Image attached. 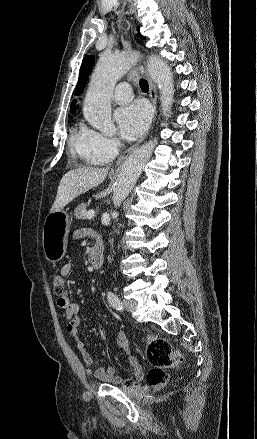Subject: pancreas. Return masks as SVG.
<instances>
[{"instance_id": "1", "label": "pancreas", "mask_w": 257, "mask_h": 439, "mask_svg": "<svg viewBox=\"0 0 257 439\" xmlns=\"http://www.w3.org/2000/svg\"><path fill=\"white\" fill-rule=\"evenodd\" d=\"M86 208H87L86 204H81V205L77 206L74 210V218L79 219V220L86 219V214H87Z\"/></svg>"}]
</instances>
